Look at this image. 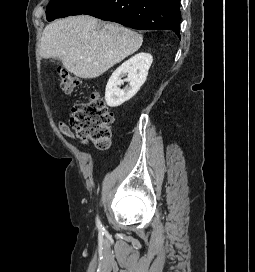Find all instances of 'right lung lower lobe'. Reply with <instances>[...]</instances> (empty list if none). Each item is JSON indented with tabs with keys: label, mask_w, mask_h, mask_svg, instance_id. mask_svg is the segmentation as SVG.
Returning a JSON list of instances; mask_svg holds the SVG:
<instances>
[{
	"label": "right lung lower lobe",
	"mask_w": 255,
	"mask_h": 272,
	"mask_svg": "<svg viewBox=\"0 0 255 272\" xmlns=\"http://www.w3.org/2000/svg\"><path fill=\"white\" fill-rule=\"evenodd\" d=\"M180 0H90L71 15L87 14L134 29L172 30L180 37Z\"/></svg>",
	"instance_id": "obj_1"
}]
</instances>
